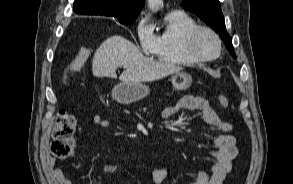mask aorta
Listing matches in <instances>:
<instances>
[{"label":"aorta","mask_w":293,"mask_h":184,"mask_svg":"<svg viewBox=\"0 0 293 184\" xmlns=\"http://www.w3.org/2000/svg\"><path fill=\"white\" fill-rule=\"evenodd\" d=\"M162 4V0H148V7L153 11L156 12L160 8Z\"/></svg>","instance_id":"762f6f07"}]
</instances>
